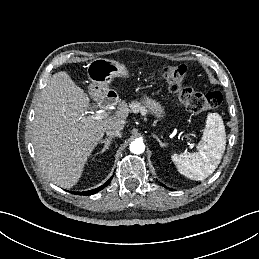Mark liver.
Instances as JSON below:
<instances>
[{
	"label": "liver",
	"mask_w": 259,
	"mask_h": 259,
	"mask_svg": "<svg viewBox=\"0 0 259 259\" xmlns=\"http://www.w3.org/2000/svg\"><path fill=\"white\" fill-rule=\"evenodd\" d=\"M90 98L70 76L55 73L42 90L33 121V144L42 171L56 185L71 188L107 129H124L129 109L119 102L115 115L84 116Z\"/></svg>",
	"instance_id": "obj_1"
}]
</instances>
